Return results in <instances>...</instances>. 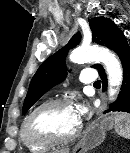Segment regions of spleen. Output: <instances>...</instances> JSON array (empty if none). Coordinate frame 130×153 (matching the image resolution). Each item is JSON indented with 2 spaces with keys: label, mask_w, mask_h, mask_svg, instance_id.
<instances>
[{
  "label": "spleen",
  "mask_w": 130,
  "mask_h": 153,
  "mask_svg": "<svg viewBox=\"0 0 130 153\" xmlns=\"http://www.w3.org/2000/svg\"><path fill=\"white\" fill-rule=\"evenodd\" d=\"M115 131L121 137L130 139V114L120 113L115 116Z\"/></svg>",
  "instance_id": "obj_1"
}]
</instances>
